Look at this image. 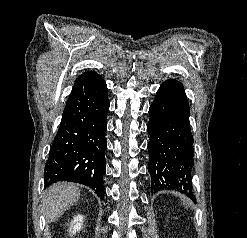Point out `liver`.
Masks as SVG:
<instances>
[{
  "label": "liver",
  "mask_w": 247,
  "mask_h": 238,
  "mask_svg": "<svg viewBox=\"0 0 247 238\" xmlns=\"http://www.w3.org/2000/svg\"><path fill=\"white\" fill-rule=\"evenodd\" d=\"M79 197L80 189L74 184L57 183L50 186L43 199L46 221L51 223L59 219Z\"/></svg>",
  "instance_id": "obj_1"
}]
</instances>
